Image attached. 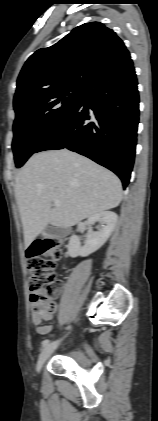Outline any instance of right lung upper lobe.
<instances>
[{
	"instance_id": "obj_1",
	"label": "right lung upper lobe",
	"mask_w": 158,
	"mask_h": 421,
	"mask_svg": "<svg viewBox=\"0 0 158 421\" xmlns=\"http://www.w3.org/2000/svg\"><path fill=\"white\" fill-rule=\"evenodd\" d=\"M126 52L112 29L100 22L82 24L58 43L29 57L17 80L14 104L55 88L84 87L99 70Z\"/></svg>"
}]
</instances>
